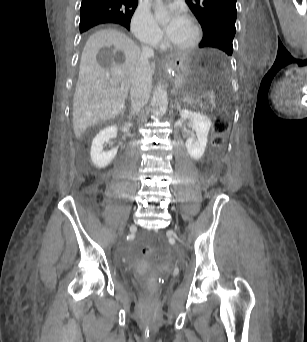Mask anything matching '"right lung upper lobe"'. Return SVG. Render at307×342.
Wrapping results in <instances>:
<instances>
[{
	"instance_id": "cb5924a9",
	"label": "right lung upper lobe",
	"mask_w": 307,
	"mask_h": 342,
	"mask_svg": "<svg viewBox=\"0 0 307 342\" xmlns=\"http://www.w3.org/2000/svg\"><path fill=\"white\" fill-rule=\"evenodd\" d=\"M138 0H82L81 10H108L119 15L114 22L130 29V20Z\"/></svg>"
}]
</instances>
